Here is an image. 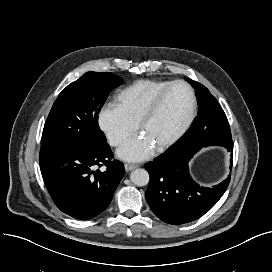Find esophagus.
<instances>
[{
	"mask_svg": "<svg viewBox=\"0 0 272 272\" xmlns=\"http://www.w3.org/2000/svg\"><path fill=\"white\" fill-rule=\"evenodd\" d=\"M124 167H125L126 171H131V170L139 167V165H137V164H131V163H125Z\"/></svg>",
	"mask_w": 272,
	"mask_h": 272,
	"instance_id": "esophagus-1",
	"label": "esophagus"
}]
</instances>
